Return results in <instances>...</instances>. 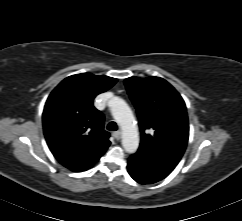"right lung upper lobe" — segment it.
I'll list each match as a JSON object with an SVG mask.
<instances>
[{"mask_svg":"<svg viewBox=\"0 0 242 221\" xmlns=\"http://www.w3.org/2000/svg\"><path fill=\"white\" fill-rule=\"evenodd\" d=\"M116 82L108 76L72 75L48 97L43 111L44 135L55 158L68 169H89L109 147L104 115L93 106V100Z\"/></svg>","mask_w":242,"mask_h":221,"instance_id":"obj_1","label":"right lung upper lobe"}]
</instances>
